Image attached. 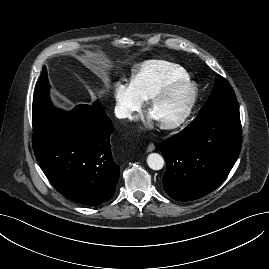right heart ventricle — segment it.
<instances>
[{"instance_id":"right-heart-ventricle-1","label":"right heart ventricle","mask_w":269,"mask_h":269,"mask_svg":"<svg viewBox=\"0 0 269 269\" xmlns=\"http://www.w3.org/2000/svg\"><path fill=\"white\" fill-rule=\"evenodd\" d=\"M186 70L176 64L150 60L145 62L132 80V85L143 100H149L163 88L188 79Z\"/></svg>"}]
</instances>
